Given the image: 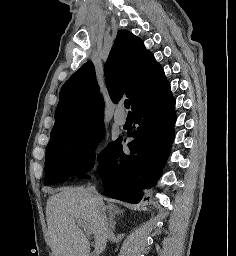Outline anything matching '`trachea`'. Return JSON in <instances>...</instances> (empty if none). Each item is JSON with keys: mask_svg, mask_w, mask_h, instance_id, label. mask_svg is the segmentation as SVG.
Masks as SVG:
<instances>
[{"mask_svg": "<svg viewBox=\"0 0 236 256\" xmlns=\"http://www.w3.org/2000/svg\"><path fill=\"white\" fill-rule=\"evenodd\" d=\"M124 106H125V108H126L127 110L130 108V102H129V100H125V101H124Z\"/></svg>", "mask_w": 236, "mask_h": 256, "instance_id": "obj_1", "label": "trachea"}]
</instances>
